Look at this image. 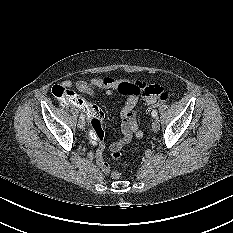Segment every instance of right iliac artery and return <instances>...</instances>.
<instances>
[{"label": "right iliac artery", "mask_w": 233, "mask_h": 233, "mask_svg": "<svg viewBox=\"0 0 233 233\" xmlns=\"http://www.w3.org/2000/svg\"><path fill=\"white\" fill-rule=\"evenodd\" d=\"M84 118H85V115L81 113L80 119H83V120H84Z\"/></svg>", "instance_id": "82829eb1"}]
</instances>
